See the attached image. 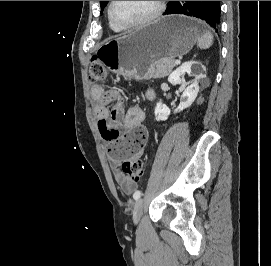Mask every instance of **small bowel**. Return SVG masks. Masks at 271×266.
<instances>
[{"instance_id":"c3829d8e","label":"small bowel","mask_w":271,"mask_h":266,"mask_svg":"<svg viewBox=\"0 0 271 266\" xmlns=\"http://www.w3.org/2000/svg\"><path fill=\"white\" fill-rule=\"evenodd\" d=\"M91 96L98 130L109 146L113 176L121 189L129 194L135 189L136 182L125 176L120 164L139 158L144 152L148 137L142 125L144 110L138 105L126 108L124 97L115 89L105 90L101 86H93ZM147 97L152 99L154 93L148 91ZM110 104H113L111 112L108 111Z\"/></svg>"}]
</instances>
